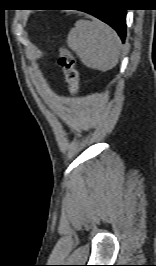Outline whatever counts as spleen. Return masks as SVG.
<instances>
[{
    "instance_id": "obj_1",
    "label": "spleen",
    "mask_w": 156,
    "mask_h": 266,
    "mask_svg": "<svg viewBox=\"0 0 156 266\" xmlns=\"http://www.w3.org/2000/svg\"><path fill=\"white\" fill-rule=\"evenodd\" d=\"M68 47L88 68L106 72L113 69L120 56L116 32L99 20H79L67 36Z\"/></svg>"
}]
</instances>
